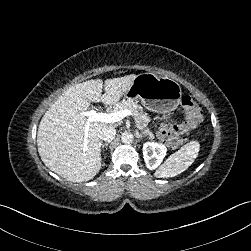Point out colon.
Returning <instances> with one entry per match:
<instances>
[{"instance_id":"obj_1","label":"colon","mask_w":251,"mask_h":251,"mask_svg":"<svg viewBox=\"0 0 251 251\" xmlns=\"http://www.w3.org/2000/svg\"><path fill=\"white\" fill-rule=\"evenodd\" d=\"M181 107L184 119L178 122L163 123L159 126L158 137L163 144L175 149L181 146L187 136L195 130L203 120V112L190 96H183Z\"/></svg>"}]
</instances>
